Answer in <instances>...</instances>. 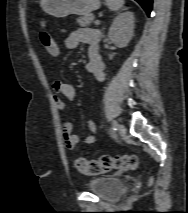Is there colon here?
<instances>
[{"mask_svg": "<svg viewBox=\"0 0 188 213\" xmlns=\"http://www.w3.org/2000/svg\"><path fill=\"white\" fill-rule=\"evenodd\" d=\"M42 30L39 39L44 49L51 56H57L59 51L50 33L45 29V22L40 20ZM139 165L136 155L108 156L104 155L95 160L79 158L75 161L76 169L86 175H98L116 170H132Z\"/></svg>", "mask_w": 188, "mask_h": 213, "instance_id": "colon-1", "label": "colon"}]
</instances>
